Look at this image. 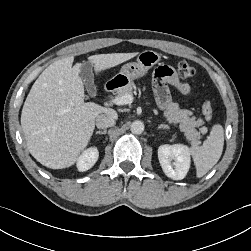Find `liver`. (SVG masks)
Segmentation results:
<instances>
[{"label": "liver", "mask_w": 251, "mask_h": 251, "mask_svg": "<svg viewBox=\"0 0 251 251\" xmlns=\"http://www.w3.org/2000/svg\"><path fill=\"white\" fill-rule=\"evenodd\" d=\"M138 53L92 55L88 60L95 71L115 67ZM74 57L49 65L34 82L23 105L21 126L27 148L42 165L52 169L72 166L87 147L98 115L113 109L84 102L80 66L72 67Z\"/></svg>", "instance_id": "liver-1"}]
</instances>
